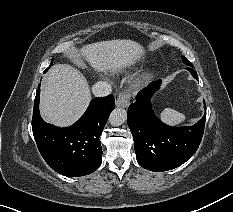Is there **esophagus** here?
<instances>
[{
    "mask_svg": "<svg viewBox=\"0 0 233 212\" xmlns=\"http://www.w3.org/2000/svg\"><path fill=\"white\" fill-rule=\"evenodd\" d=\"M129 101H130V95L125 91H120L117 96L115 104L117 107L127 108L130 104Z\"/></svg>",
    "mask_w": 233,
    "mask_h": 212,
    "instance_id": "1",
    "label": "esophagus"
}]
</instances>
